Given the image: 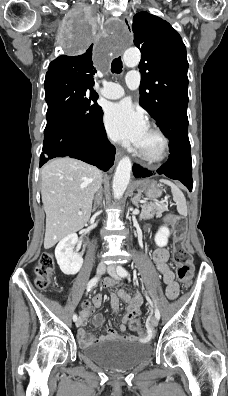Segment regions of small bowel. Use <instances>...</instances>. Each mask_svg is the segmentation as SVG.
Instances as JSON below:
<instances>
[{
	"mask_svg": "<svg viewBox=\"0 0 228 396\" xmlns=\"http://www.w3.org/2000/svg\"><path fill=\"white\" fill-rule=\"evenodd\" d=\"M153 261L161 273L164 283L166 284V295L169 299H175L178 296L179 286L174 280V273L171 266L168 264L169 254L166 249L161 247H154ZM118 283L112 279H105L103 281L104 288H111L116 286ZM110 303L115 313L119 311V301L122 300L127 304V313L124 316V323L119 326V332L114 329H107V335L100 337H93L83 329L80 328L77 332L79 343L83 346H89L106 339H134L139 341H146L147 337L143 332L136 331L135 336L127 335L125 323L131 321L140 314V306L142 304V296L139 292L131 295L123 289H118L116 292L109 293ZM102 304V296L95 294L92 296L91 302H84L82 304V310L80 312L81 325L85 326L88 322L89 317L92 315L94 309L99 308ZM92 322L94 325L99 326L103 322V315L97 313L93 316Z\"/></svg>",
	"mask_w": 228,
	"mask_h": 396,
	"instance_id": "1",
	"label": "small bowel"
}]
</instances>
